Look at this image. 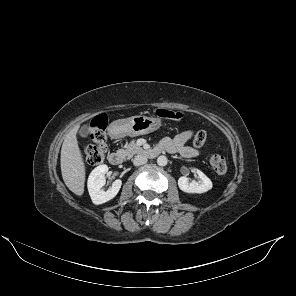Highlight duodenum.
Here are the masks:
<instances>
[{
	"label": "duodenum",
	"instance_id": "1",
	"mask_svg": "<svg viewBox=\"0 0 296 296\" xmlns=\"http://www.w3.org/2000/svg\"><path fill=\"white\" fill-rule=\"evenodd\" d=\"M110 135L113 138H115L117 136V132L111 131ZM163 151H164V149L162 147H153V148L146 150L145 153L149 158H156ZM108 159L112 165L117 166L123 162V154L121 152L115 151V152L110 153Z\"/></svg>",
	"mask_w": 296,
	"mask_h": 296
}]
</instances>
